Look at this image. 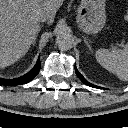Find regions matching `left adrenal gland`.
I'll use <instances>...</instances> for the list:
<instances>
[{
    "label": "left adrenal gland",
    "mask_w": 128,
    "mask_h": 128,
    "mask_svg": "<svg viewBox=\"0 0 128 128\" xmlns=\"http://www.w3.org/2000/svg\"><path fill=\"white\" fill-rule=\"evenodd\" d=\"M84 42H85L86 46L89 48V50L92 51V50H91V46H90V44L88 43V41H87L86 38H84Z\"/></svg>",
    "instance_id": "left-adrenal-gland-1"
}]
</instances>
